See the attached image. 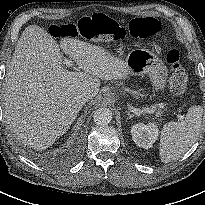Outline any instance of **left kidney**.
Masks as SVG:
<instances>
[{"mask_svg":"<svg viewBox=\"0 0 205 205\" xmlns=\"http://www.w3.org/2000/svg\"><path fill=\"white\" fill-rule=\"evenodd\" d=\"M159 134L158 126L154 123L147 125L143 123L134 124L131 127V135L135 144L139 147L149 149L157 140Z\"/></svg>","mask_w":205,"mask_h":205,"instance_id":"obj_1","label":"left kidney"}]
</instances>
